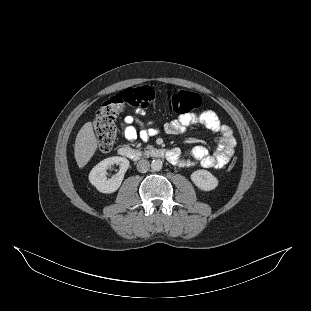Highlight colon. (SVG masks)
<instances>
[{"instance_id": "obj_1", "label": "colon", "mask_w": 311, "mask_h": 311, "mask_svg": "<svg viewBox=\"0 0 311 311\" xmlns=\"http://www.w3.org/2000/svg\"><path fill=\"white\" fill-rule=\"evenodd\" d=\"M159 101L166 108L177 114H187L201 105V97L195 92L179 90L160 98L148 86L128 88L102 104L93 120L94 129L98 139V148L102 153L109 152L116 139V118L128 107L151 108ZM237 159L233 158L228 164L231 171L236 166Z\"/></svg>"}]
</instances>
